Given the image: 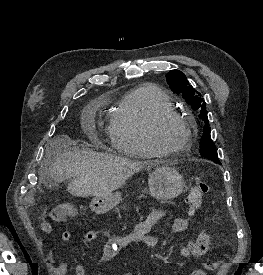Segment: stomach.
Returning <instances> with one entry per match:
<instances>
[{
  "mask_svg": "<svg viewBox=\"0 0 263 275\" xmlns=\"http://www.w3.org/2000/svg\"><path fill=\"white\" fill-rule=\"evenodd\" d=\"M149 191L158 200H170L179 196L184 189V179L173 167H156L148 180ZM121 201V193L113 192L104 197H95L90 208L97 214L113 209Z\"/></svg>",
  "mask_w": 263,
  "mask_h": 275,
  "instance_id": "1",
  "label": "stomach"
}]
</instances>
